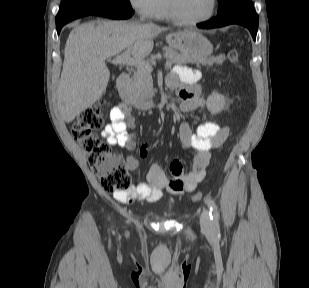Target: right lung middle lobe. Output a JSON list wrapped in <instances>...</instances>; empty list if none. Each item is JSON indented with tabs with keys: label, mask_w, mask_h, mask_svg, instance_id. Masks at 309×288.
<instances>
[{
	"label": "right lung middle lobe",
	"mask_w": 309,
	"mask_h": 288,
	"mask_svg": "<svg viewBox=\"0 0 309 288\" xmlns=\"http://www.w3.org/2000/svg\"><path fill=\"white\" fill-rule=\"evenodd\" d=\"M99 4L131 8L129 0H63L56 16V24L85 7Z\"/></svg>",
	"instance_id": "obj_1"
}]
</instances>
